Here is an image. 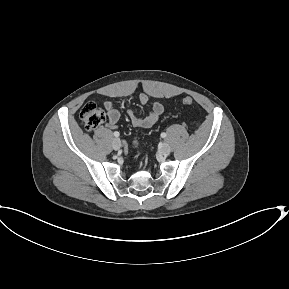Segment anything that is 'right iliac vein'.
Instances as JSON below:
<instances>
[{
  "label": "right iliac vein",
  "mask_w": 289,
  "mask_h": 289,
  "mask_svg": "<svg viewBox=\"0 0 289 289\" xmlns=\"http://www.w3.org/2000/svg\"><path fill=\"white\" fill-rule=\"evenodd\" d=\"M112 146L115 150H119L121 147V141L119 138H115L112 142Z\"/></svg>",
  "instance_id": "obj_1"
}]
</instances>
